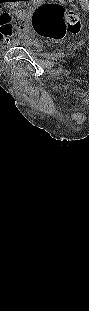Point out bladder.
I'll return each mask as SVG.
<instances>
[{
  "label": "bladder",
  "mask_w": 89,
  "mask_h": 311,
  "mask_svg": "<svg viewBox=\"0 0 89 311\" xmlns=\"http://www.w3.org/2000/svg\"><path fill=\"white\" fill-rule=\"evenodd\" d=\"M13 44L20 46V47L30 49V50H39L41 48L39 42H37L33 38L25 39V40L20 41V42H14Z\"/></svg>",
  "instance_id": "bladder-1"
}]
</instances>
